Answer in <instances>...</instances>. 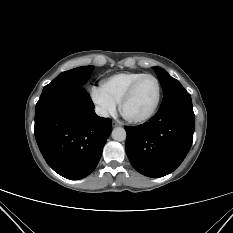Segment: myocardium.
I'll list each match as a JSON object with an SVG mask.
<instances>
[{"instance_id":"f54148a6","label":"myocardium","mask_w":233,"mask_h":233,"mask_svg":"<svg viewBox=\"0 0 233 233\" xmlns=\"http://www.w3.org/2000/svg\"><path fill=\"white\" fill-rule=\"evenodd\" d=\"M145 78H151V79H153L155 81V83L157 85V98H156L155 104L153 105V107L151 108V110L148 113H146V114H144L142 116H137V117L130 116L128 118L131 122H134V123H145L148 120H150L156 114V112H157V110L159 108V105H160V101H161V92H162V90H161V84H160L159 79L156 76L152 75V74H143L142 76L137 78L135 81H133V83L129 86V88L125 92L123 98L121 99V108H122V110L125 109V106H126L127 102L133 96L138 84Z\"/></svg>"}]
</instances>
